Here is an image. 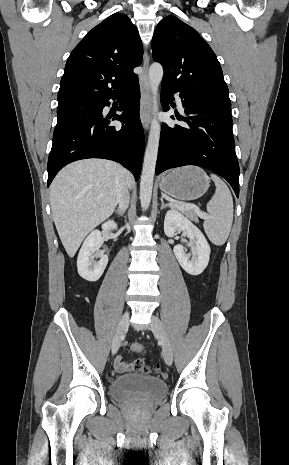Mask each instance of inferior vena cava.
Instances as JSON below:
<instances>
[{
    "label": "inferior vena cava",
    "instance_id": "inferior-vena-cava-1",
    "mask_svg": "<svg viewBox=\"0 0 289 465\" xmlns=\"http://www.w3.org/2000/svg\"><path fill=\"white\" fill-rule=\"evenodd\" d=\"M129 192L126 182L122 179L119 183L117 190V204L119 205V210L123 213L126 211L129 205Z\"/></svg>",
    "mask_w": 289,
    "mask_h": 465
}]
</instances>
